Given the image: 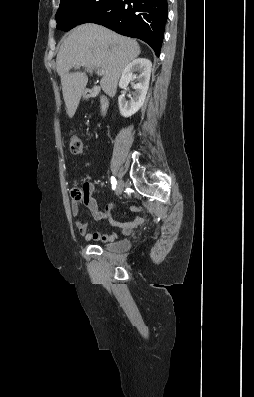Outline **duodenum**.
<instances>
[{"label":"duodenum","mask_w":254,"mask_h":397,"mask_svg":"<svg viewBox=\"0 0 254 397\" xmlns=\"http://www.w3.org/2000/svg\"><path fill=\"white\" fill-rule=\"evenodd\" d=\"M87 96L89 97H99L100 98V109L101 114L105 115L108 110L109 102L106 96L101 94V91L98 87H91L86 91Z\"/></svg>","instance_id":"1"}]
</instances>
